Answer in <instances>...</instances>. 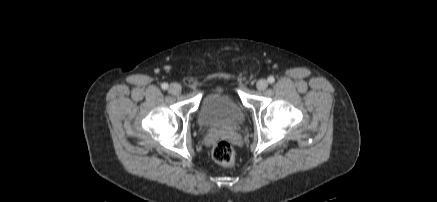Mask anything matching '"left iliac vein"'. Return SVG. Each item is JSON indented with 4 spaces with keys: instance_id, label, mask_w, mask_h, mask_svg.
<instances>
[{
    "instance_id": "obj_1",
    "label": "left iliac vein",
    "mask_w": 437,
    "mask_h": 202,
    "mask_svg": "<svg viewBox=\"0 0 437 202\" xmlns=\"http://www.w3.org/2000/svg\"><path fill=\"white\" fill-rule=\"evenodd\" d=\"M256 87L259 91H264L267 87H268V82L265 79H260L257 84Z\"/></svg>"
}]
</instances>
